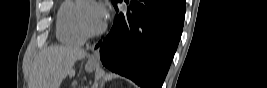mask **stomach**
Instances as JSON below:
<instances>
[{"instance_id":"0dacf381","label":"stomach","mask_w":267,"mask_h":88,"mask_svg":"<svg viewBox=\"0 0 267 88\" xmlns=\"http://www.w3.org/2000/svg\"><path fill=\"white\" fill-rule=\"evenodd\" d=\"M96 63H90L88 62L86 64V70L89 71V72H92L95 68H96Z\"/></svg>"}]
</instances>
